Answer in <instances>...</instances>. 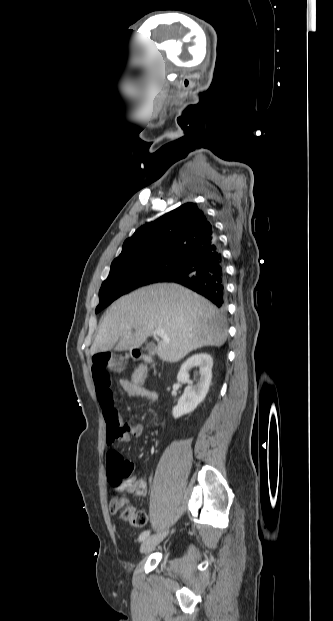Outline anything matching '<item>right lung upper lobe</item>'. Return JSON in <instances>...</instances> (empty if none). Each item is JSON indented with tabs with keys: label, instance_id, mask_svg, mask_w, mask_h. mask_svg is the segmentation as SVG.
<instances>
[{
	"label": "right lung upper lobe",
	"instance_id": "1",
	"mask_svg": "<svg viewBox=\"0 0 333 621\" xmlns=\"http://www.w3.org/2000/svg\"><path fill=\"white\" fill-rule=\"evenodd\" d=\"M196 203H185L135 231L112 264L159 257L184 258L216 239Z\"/></svg>",
	"mask_w": 333,
	"mask_h": 621
}]
</instances>
